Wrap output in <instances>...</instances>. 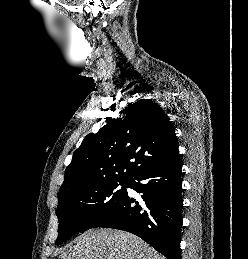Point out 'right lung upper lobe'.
I'll list each match as a JSON object with an SVG mask.
<instances>
[{"instance_id": "right-lung-upper-lobe-1", "label": "right lung upper lobe", "mask_w": 248, "mask_h": 259, "mask_svg": "<svg viewBox=\"0 0 248 259\" xmlns=\"http://www.w3.org/2000/svg\"><path fill=\"white\" fill-rule=\"evenodd\" d=\"M121 113L122 118L88 134L74 152L58 199L79 186L130 181L141 171L179 155L174 127L156 103L139 100Z\"/></svg>"}]
</instances>
